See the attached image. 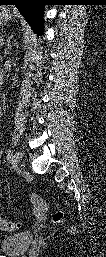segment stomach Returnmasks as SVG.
<instances>
[{"label": "stomach", "mask_w": 106, "mask_h": 257, "mask_svg": "<svg viewBox=\"0 0 106 257\" xmlns=\"http://www.w3.org/2000/svg\"><path fill=\"white\" fill-rule=\"evenodd\" d=\"M12 18V14L10 12V9L7 7H2L1 8V13H0V22L2 24L7 23L10 19Z\"/></svg>", "instance_id": "stomach-1"}]
</instances>
